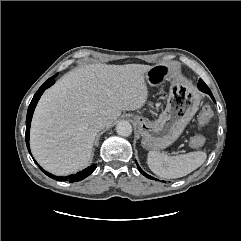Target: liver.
<instances>
[{"instance_id":"1","label":"liver","mask_w":241,"mask_h":241,"mask_svg":"<svg viewBox=\"0 0 241 241\" xmlns=\"http://www.w3.org/2000/svg\"><path fill=\"white\" fill-rule=\"evenodd\" d=\"M143 64H91L65 74L42 95L33 115L30 147L36 161L58 176L83 169L92 156L103 117L110 126L121 111L140 109L147 101Z\"/></svg>"}]
</instances>
